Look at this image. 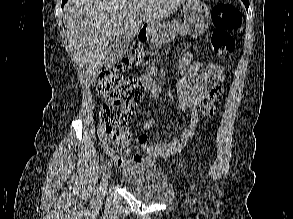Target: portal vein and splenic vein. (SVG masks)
<instances>
[{
  "mask_svg": "<svg viewBox=\"0 0 293 219\" xmlns=\"http://www.w3.org/2000/svg\"><path fill=\"white\" fill-rule=\"evenodd\" d=\"M139 15H140V16H143V13H140Z\"/></svg>",
  "mask_w": 293,
  "mask_h": 219,
  "instance_id": "obj_1",
  "label": "portal vein and splenic vein"
}]
</instances>
